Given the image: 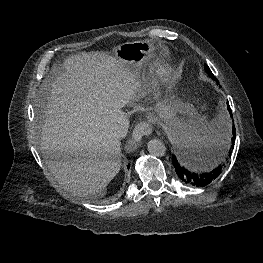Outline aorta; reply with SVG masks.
Instances as JSON below:
<instances>
[{"mask_svg": "<svg viewBox=\"0 0 263 263\" xmlns=\"http://www.w3.org/2000/svg\"><path fill=\"white\" fill-rule=\"evenodd\" d=\"M148 151L151 155L156 157H162L166 153V147L164 143L157 139H152L147 144Z\"/></svg>", "mask_w": 263, "mask_h": 263, "instance_id": "1", "label": "aorta"}]
</instances>
